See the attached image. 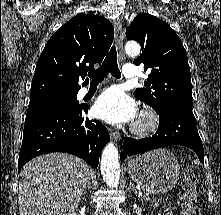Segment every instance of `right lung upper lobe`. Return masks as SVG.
Listing matches in <instances>:
<instances>
[{
    "label": "right lung upper lobe",
    "mask_w": 221,
    "mask_h": 215,
    "mask_svg": "<svg viewBox=\"0 0 221 215\" xmlns=\"http://www.w3.org/2000/svg\"><path fill=\"white\" fill-rule=\"evenodd\" d=\"M114 38V28L105 18L78 14L49 39L32 79L30 101L77 93L79 79L103 60Z\"/></svg>",
    "instance_id": "obj_1"
}]
</instances>
